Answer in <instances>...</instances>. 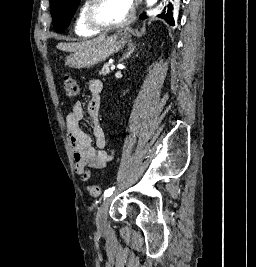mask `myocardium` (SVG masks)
I'll return each mask as SVG.
<instances>
[{"mask_svg": "<svg viewBox=\"0 0 256 267\" xmlns=\"http://www.w3.org/2000/svg\"><path fill=\"white\" fill-rule=\"evenodd\" d=\"M103 1H107V0H92L91 5L88 7V9L86 11L85 19H86L88 26L91 29L98 31L100 33L112 32V31H117V30L123 29L124 27L128 26L129 24H131L135 21V14H134V12H132V18L127 23L117 24V25L103 24L96 17V10H97L99 4Z\"/></svg>", "mask_w": 256, "mask_h": 267, "instance_id": "obj_1", "label": "myocardium"}]
</instances>
